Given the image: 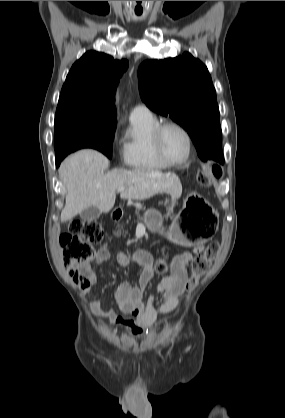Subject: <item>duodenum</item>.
<instances>
[{
	"instance_id": "1",
	"label": "duodenum",
	"mask_w": 285,
	"mask_h": 418,
	"mask_svg": "<svg viewBox=\"0 0 285 418\" xmlns=\"http://www.w3.org/2000/svg\"><path fill=\"white\" fill-rule=\"evenodd\" d=\"M123 216V213L119 209H114L112 212V217L115 221H119Z\"/></svg>"
}]
</instances>
